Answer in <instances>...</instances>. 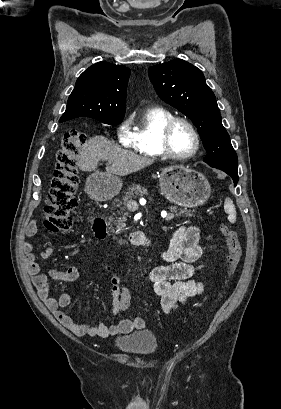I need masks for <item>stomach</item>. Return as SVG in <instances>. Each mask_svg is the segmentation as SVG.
I'll return each mask as SVG.
<instances>
[{"label":"stomach","mask_w":281,"mask_h":409,"mask_svg":"<svg viewBox=\"0 0 281 409\" xmlns=\"http://www.w3.org/2000/svg\"><path fill=\"white\" fill-rule=\"evenodd\" d=\"M159 184L165 196L179 207H199L208 200L211 186L204 174L184 164H173L162 168ZM122 186L115 174L94 172L86 180L85 190L93 200H110Z\"/></svg>","instance_id":"0dacf381"}]
</instances>
